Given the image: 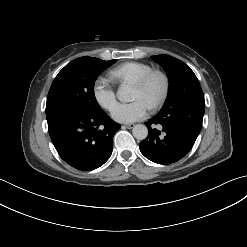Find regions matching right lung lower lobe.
Listing matches in <instances>:
<instances>
[{
	"mask_svg": "<svg viewBox=\"0 0 247 247\" xmlns=\"http://www.w3.org/2000/svg\"><path fill=\"white\" fill-rule=\"evenodd\" d=\"M46 117L49 135L58 154L72 167L91 171L110 158L113 136L120 124L102 109L91 113L65 108Z\"/></svg>",
	"mask_w": 247,
	"mask_h": 247,
	"instance_id": "98d812e1",
	"label": "right lung lower lobe"
}]
</instances>
